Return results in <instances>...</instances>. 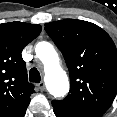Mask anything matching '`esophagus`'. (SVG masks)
Here are the masks:
<instances>
[{
  "mask_svg": "<svg viewBox=\"0 0 117 117\" xmlns=\"http://www.w3.org/2000/svg\"><path fill=\"white\" fill-rule=\"evenodd\" d=\"M37 87H38V89L41 90V91L45 90V84H44V82L42 81V82H40L39 84H37Z\"/></svg>",
  "mask_w": 117,
  "mask_h": 117,
  "instance_id": "esophagus-1",
  "label": "esophagus"
}]
</instances>
